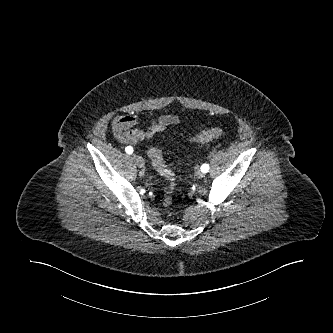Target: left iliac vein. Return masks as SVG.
<instances>
[{"mask_svg": "<svg viewBox=\"0 0 333 333\" xmlns=\"http://www.w3.org/2000/svg\"><path fill=\"white\" fill-rule=\"evenodd\" d=\"M195 174L198 178H203L205 176V174L199 168L196 170Z\"/></svg>", "mask_w": 333, "mask_h": 333, "instance_id": "1", "label": "left iliac vein"}]
</instances>
